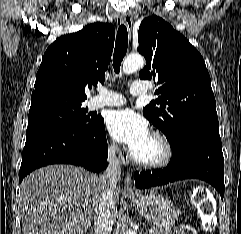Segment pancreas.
Segmentation results:
<instances>
[{
  "mask_svg": "<svg viewBox=\"0 0 241 234\" xmlns=\"http://www.w3.org/2000/svg\"><path fill=\"white\" fill-rule=\"evenodd\" d=\"M153 234H185L182 230L153 228Z\"/></svg>",
  "mask_w": 241,
  "mask_h": 234,
  "instance_id": "obj_1",
  "label": "pancreas"
}]
</instances>
